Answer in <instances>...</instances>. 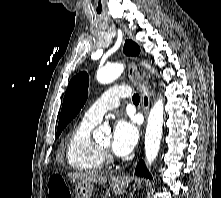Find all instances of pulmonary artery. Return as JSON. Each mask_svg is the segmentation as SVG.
Returning a JSON list of instances; mask_svg holds the SVG:
<instances>
[{
    "label": "pulmonary artery",
    "instance_id": "obj_1",
    "mask_svg": "<svg viewBox=\"0 0 221 198\" xmlns=\"http://www.w3.org/2000/svg\"><path fill=\"white\" fill-rule=\"evenodd\" d=\"M130 96V89L126 86H117L107 90L84 113L83 120L97 124L108 110L118 107L120 99Z\"/></svg>",
    "mask_w": 221,
    "mask_h": 198
}]
</instances>
